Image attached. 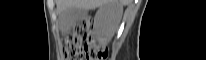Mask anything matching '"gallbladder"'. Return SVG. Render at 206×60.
Wrapping results in <instances>:
<instances>
[{
  "mask_svg": "<svg viewBox=\"0 0 206 60\" xmlns=\"http://www.w3.org/2000/svg\"><path fill=\"white\" fill-rule=\"evenodd\" d=\"M87 10L71 7L59 15V23L64 28H71L75 23L79 22L85 16Z\"/></svg>",
  "mask_w": 206,
  "mask_h": 60,
  "instance_id": "1",
  "label": "gallbladder"
}]
</instances>
